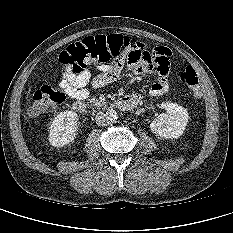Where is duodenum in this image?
<instances>
[{"label": "duodenum", "instance_id": "1", "mask_svg": "<svg viewBox=\"0 0 233 233\" xmlns=\"http://www.w3.org/2000/svg\"><path fill=\"white\" fill-rule=\"evenodd\" d=\"M139 100L140 98L138 96L128 95V96H124L122 98L117 99L114 102V105L123 110H131L137 106ZM73 109L78 113H84L88 110V106L83 101H76L73 104Z\"/></svg>", "mask_w": 233, "mask_h": 233}]
</instances>
